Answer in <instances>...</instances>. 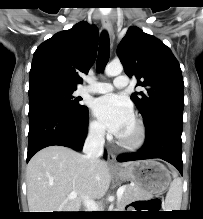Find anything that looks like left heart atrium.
<instances>
[{"label":"left heart atrium","instance_id":"1","mask_svg":"<svg viewBox=\"0 0 203 219\" xmlns=\"http://www.w3.org/2000/svg\"><path fill=\"white\" fill-rule=\"evenodd\" d=\"M93 112L103 126L117 136L133 120L131 104L115 94L97 98L93 103Z\"/></svg>","mask_w":203,"mask_h":219}]
</instances>
